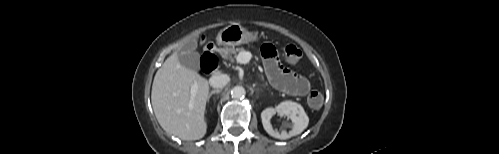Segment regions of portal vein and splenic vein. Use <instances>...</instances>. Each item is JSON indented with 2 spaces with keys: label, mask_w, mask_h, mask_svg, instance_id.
Returning a JSON list of instances; mask_svg holds the SVG:
<instances>
[{
  "label": "portal vein and splenic vein",
  "mask_w": 499,
  "mask_h": 154,
  "mask_svg": "<svg viewBox=\"0 0 499 154\" xmlns=\"http://www.w3.org/2000/svg\"><path fill=\"white\" fill-rule=\"evenodd\" d=\"M251 57L252 55L250 52L243 51L237 55L236 60L240 64H246L250 61ZM196 92H197V86L193 85L191 87V96L193 97L196 94Z\"/></svg>",
  "instance_id": "obj_1"
}]
</instances>
